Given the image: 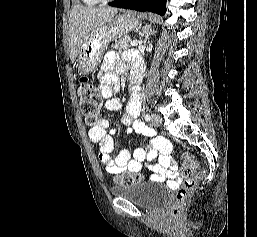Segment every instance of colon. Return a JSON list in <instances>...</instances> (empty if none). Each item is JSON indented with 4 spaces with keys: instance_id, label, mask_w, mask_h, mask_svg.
<instances>
[{
    "instance_id": "colon-1",
    "label": "colon",
    "mask_w": 257,
    "mask_h": 237,
    "mask_svg": "<svg viewBox=\"0 0 257 237\" xmlns=\"http://www.w3.org/2000/svg\"><path fill=\"white\" fill-rule=\"evenodd\" d=\"M78 94L80 96L81 112L87 122H96L102 105V95L99 89L92 84L87 77L82 76L79 80ZM182 181L176 193L175 203L171 210V218L178 220L181 218L182 210L186 205L190 194L196 187L197 181L203 177L204 169L197 165L188 154L181 157ZM141 177L132 173H121L116 182L119 185H129L140 181Z\"/></svg>"
}]
</instances>
